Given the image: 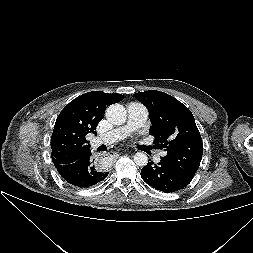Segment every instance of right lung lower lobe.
I'll return each instance as SVG.
<instances>
[{"label":"right lung lower lobe","mask_w":253,"mask_h":253,"mask_svg":"<svg viewBox=\"0 0 253 253\" xmlns=\"http://www.w3.org/2000/svg\"><path fill=\"white\" fill-rule=\"evenodd\" d=\"M91 153L79 158L75 162L55 165L61 177L69 184L85 188L104 180L108 172H101L94 165Z\"/></svg>","instance_id":"1"}]
</instances>
